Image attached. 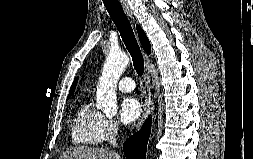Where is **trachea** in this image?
<instances>
[{"label":"trachea","mask_w":253,"mask_h":159,"mask_svg":"<svg viewBox=\"0 0 253 159\" xmlns=\"http://www.w3.org/2000/svg\"><path fill=\"white\" fill-rule=\"evenodd\" d=\"M104 5L120 32L122 40L132 57L134 69L139 76H142L144 72L143 55L135 38L131 24L125 15L120 2L118 0H104Z\"/></svg>","instance_id":"1"}]
</instances>
